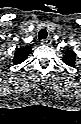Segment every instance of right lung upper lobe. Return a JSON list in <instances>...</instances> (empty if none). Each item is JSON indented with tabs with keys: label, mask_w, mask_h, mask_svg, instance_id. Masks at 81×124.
<instances>
[{
	"label": "right lung upper lobe",
	"mask_w": 81,
	"mask_h": 124,
	"mask_svg": "<svg viewBox=\"0 0 81 124\" xmlns=\"http://www.w3.org/2000/svg\"><path fill=\"white\" fill-rule=\"evenodd\" d=\"M31 49H32L31 46L17 48L14 53L13 63L20 64L24 62L27 59Z\"/></svg>",
	"instance_id": "cb5924a9"
}]
</instances>
